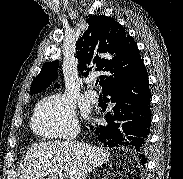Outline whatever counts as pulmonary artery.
<instances>
[{"label": "pulmonary artery", "mask_w": 183, "mask_h": 179, "mask_svg": "<svg viewBox=\"0 0 183 179\" xmlns=\"http://www.w3.org/2000/svg\"><path fill=\"white\" fill-rule=\"evenodd\" d=\"M86 98L91 101L92 103H96L99 100V95L96 91L94 90H88L85 92Z\"/></svg>", "instance_id": "1"}]
</instances>
